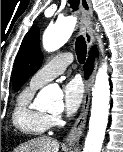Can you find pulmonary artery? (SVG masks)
Segmentation results:
<instances>
[{"label":"pulmonary artery","instance_id":"e3ab8cb5","mask_svg":"<svg viewBox=\"0 0 123 152\" xmlns=\"http://www.w3.org/2000/svg\"><path fill=\"white\" fill-rule=\"evenodd\" d=\"M72 60V54L68 52L56 55L31 77L30 86L38 89L47 84L62 74Z\"/></svg>","mask_w":123,"mask_h":152}]
</instances>
